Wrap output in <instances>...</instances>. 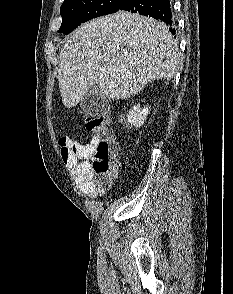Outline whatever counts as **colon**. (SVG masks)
Wrapping results in <instances>:
<instances>
[{"instance_id":"colon-1","label":"colon","mask_w":233,"mask_h":294,"mask_svg":"<svg viewBox=\"0 0 233 294\" xmlns=\"http://www.w3.org/2000/svg\"><path fill=\"white\" fill-rule=\"evenodd\" d=\"M86 129L92 134V150L89 159L95 175L101 180H108L118 169V148L111 137L109 122L104 117H87L84 120ZM67 151L62 150L65 159Z\"/></svg>"}]
</instances>
